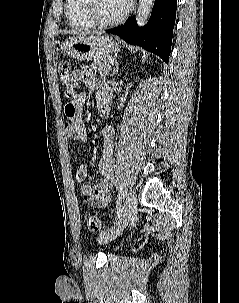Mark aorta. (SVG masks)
I'll return each instance as SVG.
<instances>
[{
	"instance_id": "762f6f07",
	"label": "aorta",
	"mask_w": 239,
	"mask_h": 303,
	"mask_svg": "<svg viewBox=\"0 0 239 303\" xmlns=\"http://www.w3.org/2000/svg\"><path fill=\"white\" fill-rule=\"evenodd\" d=\"M154 4V0H139L138 10H137V24L139 26L144 25L148 20L152 7Z\"/></svg>"
}]
</instances>
